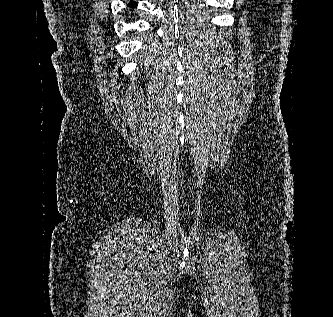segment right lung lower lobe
<instances>
[{
  "label": "right lung lower lobe",
  "instance_id": "98d812e1",
  "mask_svg": "<svg viewBox=\"0 0 333 317\" xmlns=\"http://www.w3.org/2000/svg\"><path fill=\"white\" fill-rule=\"evenodd\" d=\"M130 6L135 7L137 4L135 2L129 3Z\"/></svg>",
  "mask_w": 333,
  "mask_h": 317
}]
</instances>
